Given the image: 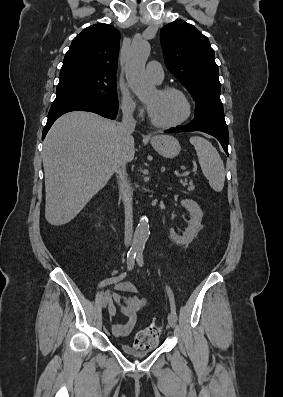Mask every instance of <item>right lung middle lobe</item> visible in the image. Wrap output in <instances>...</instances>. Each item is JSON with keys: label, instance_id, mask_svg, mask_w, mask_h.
<instances>
[{"label": "right lung middle lobe", "instance_id": "right-lung-middle-lobe-1", "mask_svg": "<svg viewBox=\"0 0 283 397\" xmlns=\"http://www.w3.org/2000/svg\"><path fill=\"white\" fill-rule=\"evenodd\" d=\"M66 99H84L103 105L118 106L116 77L76 72L60 74L55 101Z\"/></svg>", "mask_w": 283, "mask_h": 397}]
</instances>
